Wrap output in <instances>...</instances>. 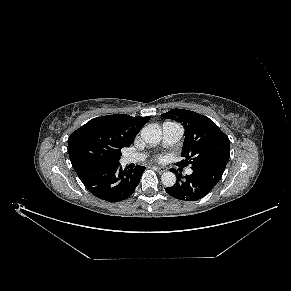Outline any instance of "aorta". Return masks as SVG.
Segmentation results:
<instances>
[{
	"label": "aorta",
	"instance_id": "aorta-1",
	"mask_svg": "<svg viewBox=\"0 0 291 291\" xmlns=\"http://www.w3.org/2000/svg\"><path fill=\"white\" fill-rule=\"evenodd\" d=\"M141 138L149 144H157L161 140V131L156 127L148 125L141 129ZM165 187H172L176 183V175L172 172H164L161 176Z\"/></svg>",
	"mask_w": 291,
	"mask_h": 291
}]
</instances>
